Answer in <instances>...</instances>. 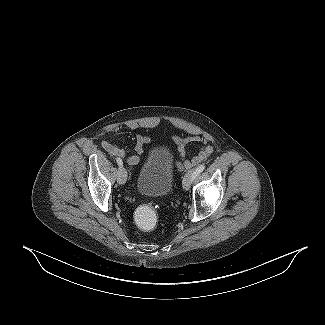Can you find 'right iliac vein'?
I'll list each match as a JSON object with an SVG mask.
<instances>
[{
	"mask_svg": "<svg viewBox=\"0 0 325 325\" xmlns=\"http://www.w3.org/2000/svg\"><path fill=\"white\" fill-rule=\"evenodd\" d=\"M117 180L119 184H125L127 180V171L124 167H119L117 172Z\"/></svg>",
	"mask_w": 325,
	"mask_h": 325,
	"instance_id": "obj_1",
	"label": "right iliac vein"
}]
</instances>
